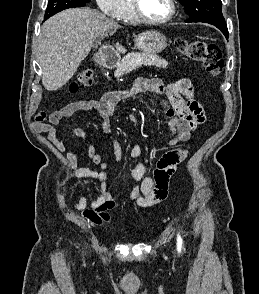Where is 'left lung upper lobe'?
<instances>
[{
	"mask_svg": "<svg viewBox=\"0 0 259 294\" xmlns=\"http://www.w3.org/2000/svg\"><path fill=\"white\" fill-rule=\"evenodd\" d=\"M190 16L187 22L225 23L221 0H178Z\"/></svg>",
	"mask_w": 259,
	"mask_h": 294,
	"instance_id": "left-lung-upper-lobe-1",
	"label": "left lung upper lobe"
}]
</instances>
